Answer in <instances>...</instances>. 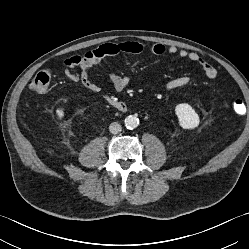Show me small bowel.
<instances>
[{
	"label": "small bowel",
	"mask_w": 249,
	"mask_h": 249,
	"mask_svg": "<svg viewBox=\"0 0 249 249\" xmlns=\"http://www.w3.org/2000/svg\"><path fill=\"white\" fill-rule=\"evenodd\" d=\"M144 51L145 47L141 43L133 40L103 43L82 57L73 56L68 58L65 61L64 75L70 81L80 82L86 89L93 93H101L102 88L90 78V72L98 62L122 54L139 56L142 55ZM150 52L156 56H162L168 53L195 62L200 65L204 74L210 79L215 78L217 75V70L196 52L179 49L176 46L166 47L160 43L153 44L150 47ZM109 79L117 92H122L130 81L128 75L117 73L114 70H110ZM191 83L192 78L190 76H180L168 81L165 85V89L172 91L186 87Z\"/></svg>",
	"instance_id": "c3829d8e"
}]
</instances>
